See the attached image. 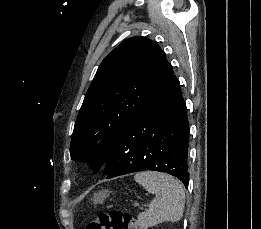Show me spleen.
Instances as JSON below:
<instances>
[{"label": "spleen", "instance_id": "obj_1", "mask_svg": "<svg viewBox=\"0 0 261 229\" xmlns=\"http://www.w3.org/2000/svg\"><path fill=\"white\" fill-rule=\"evenodd\" d=\"M136 183L142 185L148 193L155 195L150 203L148 213H140L138 221L141 227H155L159 223H177L183 217L185 191L178 179L167 173L144 171L134 177Z\"/></svg>", "mask_w": 261, "mask_h": 229}]
</instances>
